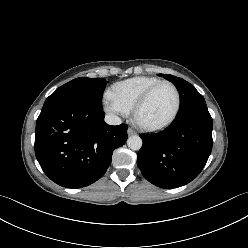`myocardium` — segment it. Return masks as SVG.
<instances>
[{
	"label": "myocardium",
	"mask_w": 248,
	"mask_h": 248,
	"mask_svg": "<svg viewBox=\"0 0 248 248\" xmlns=\"http://www.w3.org/2000/svg\"><path fill=\"white\" fill-rule=\"evenodd\" d=\"M162 85H169L174 90L175 97H176V103H175L174 110H173L172 114L170 115V117L167 120H165L164 122H162L160 124H156V125L146 124L140 119V112H141L142 108L146 105V103L148 102V100L150 99L152 94ZM180 105H181V96H180V92H179L177 86L171 81L161 80V81L155 83L154 85H152L149 89H147L144 92V94L139 98V100L137 101V103L135 104V106L133 108V119H134V122L136 123V125L140 129H142L146 132H160V131H163L166 128H168L175 121V119L179 113V110H180Z\"/></svg>",
	"instance_id": "myocardium-1"
}]
</instances>
